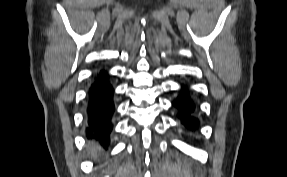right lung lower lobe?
I'll return each instance as SVG.
<instances>
[{"label":"right lung lower lobe","mask_w":287,"mask_h":177,"mask_svg":"<svg viewBox=\"0 0 287 177\" xmlns=\"http://www.w3.org/2000/svg\"><path fill=\"white\" fill-rule=\"evenodd\" d=\"M87 128L89 136L100 138L107 146L113 128L111 119L115 111L114 89L108 81V74L102 70L94 76L87 93Z\"/></svg>","instance_id":"obj_1"}]
</instances>
